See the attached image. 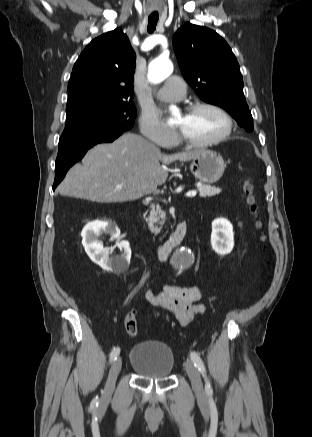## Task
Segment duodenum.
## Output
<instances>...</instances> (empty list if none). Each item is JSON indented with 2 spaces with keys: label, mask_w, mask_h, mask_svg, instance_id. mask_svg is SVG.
Returning a JSON list of instances; mask_svg holds the SVG:
<instances>
[{
  "label": "duodenum",
  "mask_w": 312,
  "mask_h": 437,
  "mask_svg": "<svg viewBox=\"0 0 312 437\" xmlns=\"http://www.w3.org/2000/svg\"><path fill=\"white\" fill-rule=\"evenodd\" d=\"M186 229H187L186 221H181L177 225L170 239L165 244L155 249L157 257L160 261L167 260V258L172 253V251L180 244L183 237L185 236Z\"/></svg>",
  "instance_id": "obj_1"
}]
</instances>
